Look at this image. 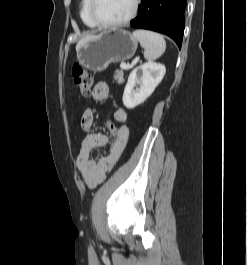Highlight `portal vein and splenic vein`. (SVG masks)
Segmentation results:
<instances>
[{
    "label": "portal vein and splenic vein",
    "instance_id": "1",
    "mask_svg": "<svg viewBox=\"0 0 247 265\" xmlns=\"http://www.w3.org/2000/svg\"><path fill=\"white\" fill-rule=\"evenodd\" d=\"M139 60V57H137L136 58V61H138ZM135 63V62H134ZM133 66V63L131 64V65H126L125 63H121L120 64V68L121 69H129V68H131Z\"/></svg>",
    "mask_w": 247,
    "mask_h": 265
}]
</instances>
